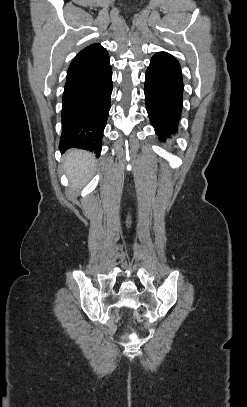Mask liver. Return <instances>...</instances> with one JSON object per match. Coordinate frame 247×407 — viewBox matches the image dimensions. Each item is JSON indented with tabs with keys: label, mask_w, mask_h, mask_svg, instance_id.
I'll list each match as a JSON object with an SVG mask.
<instances>
[{
	"label": "liver",
	"mask_w": 247,
	"mask_h": 407,
	"mask_svg": "<svg viewBox=\"0 0 247 407\" xmlns=\"http://www.w3.org/2000/svg\"><path fill=\"white\" fill-rule=\"evenodd\" d=\"M94 166L95 158L92 153L79 149H71L66 152L64 169L73 190L80 189L89 181Z\"/></svg>",
	"instance_id": "6515ba94"
}]
</instances>
